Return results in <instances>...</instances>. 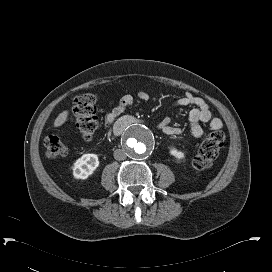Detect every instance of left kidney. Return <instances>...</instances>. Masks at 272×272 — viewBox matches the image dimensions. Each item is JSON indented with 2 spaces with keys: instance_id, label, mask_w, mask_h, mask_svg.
<instances>
[{
  "instance_id": "1",
  "label": "left kidney",
  "mask_w": 272,
  "mask_h": 272,
  "mask_svg": "<svg viewBox=\"0 0 272 272\" xmlns=\"http://www.w3.org/2000/svg\"><path fill=\"white\" fill-rule=\"evenodd\" d=\"M169 153L170 155L174 156L178 160H182L185 157L184 152L179 151L175 148L171 149Z\"/></svg>"
}]
</instances>
